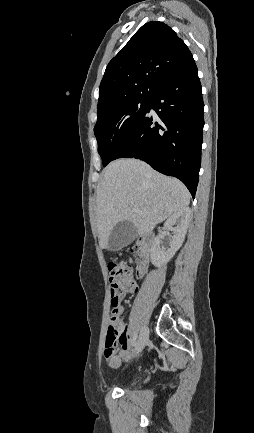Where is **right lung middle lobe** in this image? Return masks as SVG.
<instances>
[{
	"label": "right lung middle lobe",
	"mask_w": 254,
	"mask_h": 433,
	"mask_svg": "<svg viewBox=\"0 0 254 433\" xmlns=\"http://www.w3.org/2000/svg\"><path fill=\"white\" fill-rule=\"evenodd\" d=\"M150 102L151 98L131 99L97 111L94 133L104 167L112 161L122 142L145 115Z\"/></svg>",
	"instance_id": "1"
}]
</instances>
